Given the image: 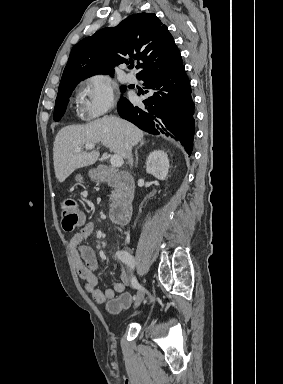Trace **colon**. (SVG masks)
Returning a JSON list of instances; mask_svg holds the SVG:
<instances>
[{
  "label": "colon",
  "instance_id": "1",
  "mask_svg": "<svg viewBox=\"0 0 283 384\" xmlns=\"http://www.w3.org/2000/svg\"><path fill=\"white\" fill-rule=\"evenodd\" d=\"M61 224L65 231H73L83 223V215L76 201L72 198L63 199L60 203ZM134 297L129 292L122 293L118 298L106 305L109 313H119L131 306Z\"/></svg>",
  "mask_w": 283,
  "mask_h": 384
}]
</instances>
